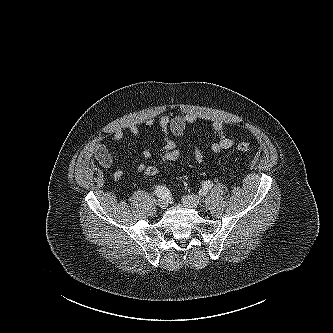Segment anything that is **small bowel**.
Wrapping results in <instances>:
<instances>
[{
	"label": "small bowel",
	"instance_id": "c3829d8e",
	"mask_svg": "<svg viewBox=\"0 0 333 333\" xmlns=\"http://www.w3.org/2000/svg\"><path fill=\"white\" fill-rule=\"evenodd\" d=\"M196 117L192 114H182V115H162L158 122L147 121V125L150 127H157L162 132L164 136V145L160 150L161 155L173 149H176L177 139H181L184 137L186 128L189 125H194L196 123ZM212 129L214 133L217 135V141L213 142L210 145V150L214 154H219L223 150L231 148L235 142L236 137L228 135L225 132V127L222 121L215 120L212 122ZM130 132L133 135H137L139 133V129L137 126L133 125L130 128ZM124 137V131L122 129H117L112 135V140L114 142H120ZM193 155L195 162L198 165H202L205 161V155L200 147H193ZM94 157L96 161L103 167L108 168L113 163L112 155L104 144H97L94 149ZM142 157L146 160L152 157V151L150 149H144L142 151ZM146 165L144 163H140L137 166L138 172H144ZM123 170L118 168L114 171L113 176L116 179H121L123 177Z\"/></svg>",
	"mask_w": 333,
	"mask_h": 333
}]
</instances>
